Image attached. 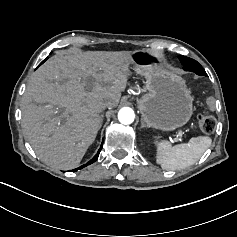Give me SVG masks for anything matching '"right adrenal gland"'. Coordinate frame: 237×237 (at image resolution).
Returning a JSON list of instances; mask_svg holds the SVG:
<instances>
[{"label": "right adrenal gland", "mask_w": 237, "mask_h": 237, "mask_svg": "<svg viewBox=\"0 0 237 237\" xmlns=\"http://www.w3.org/2000/svg\"><path fill=\"white\" fill-rule=\"evenodd\" d=\"M103 117H104L103 114H101V115L99 116V118H100L99 129H100L101 126H102Z\"/></svg>", "instance_id": "1"}]
</instances>
